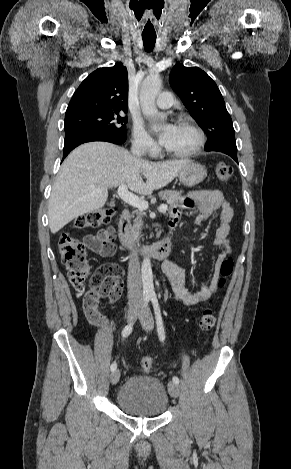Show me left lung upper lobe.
<instances>
[{
	"instance_id": "left-lung-upper-lobe-1",
	"label": "left lung upper lobe",
	"mask_w": 291,
	"mask_h": 469,
	"mask_svg": "<svg viewBox=\"0 0 291 469\" xmlns=\"http://www.w3.org/2000/svg\"><path fill=\"white\" fill-rule=\"evenodd\" d=\"M169 80L197 124L205 130L208 136L205 149L236 147L232 120L216 83L200 68H187L179 63L173 67Z\"/></svg>"
}]
</instances>
